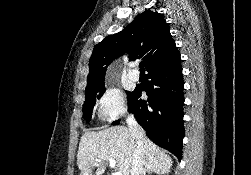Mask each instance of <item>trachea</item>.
Here are the masks:
<instances>
[{
  "instance_id": "trachea-1",
  "label": "trachea",
  "mask_w": 251,
  "mask_h": 175,
  "mask_svg": "<svg viewBox=\"0 0 251 175\" xmlns=\"http://www.w3.org/2000/svg\"><path fill=\"white\" fill-rule=\"evenodd\" d=\"M139 68H140V71H144V63L143 62L139 63Z\"/></svg>"
}]
</instances>
